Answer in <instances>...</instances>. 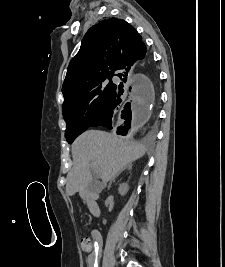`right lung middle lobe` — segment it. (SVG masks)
<instances>
[{"mask_svg":"<svg viewBox=\"0 0 225 267\" xmlns=\"http://www.w3.org/2000/svg\"><path fill=\"white\" fill-rule=\"evenodd\" d=\"M111 79L112 76H109L92 81L64 97L62 112L69 143L88 129L107 107L116 89Z\"/></svg>","mask_w":225,"mask_h":267,"instance_id":"right-lung-middle-lobe-1","label":"right lung middle lobe"}]
</instances>
